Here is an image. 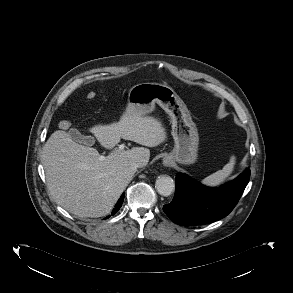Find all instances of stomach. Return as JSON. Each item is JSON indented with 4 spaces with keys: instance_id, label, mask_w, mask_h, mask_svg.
<instances>
[{
    "instance_id": "0dacf381",
    "label": "stomach",
    "mask_w": 293,
    "mask_h": 293,
    "mask_svg": "<svg viewBox=\"0 0 293 293\" xmlns=\"http://www.w3.org/2000/svg\"><path fill=\"white\" fill-rule=\"evenodd\" d=\"M158 104L170 116L174 149L168 157L179 164H193L197 159L199 136L187 106L175 91L159 83H140L128 94L127 113L147 116Z\"/></svg>"
}]
</instances>
